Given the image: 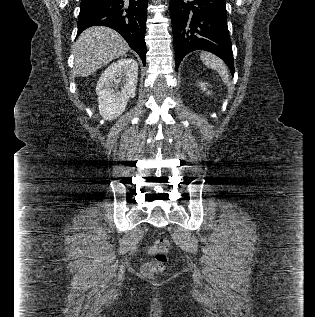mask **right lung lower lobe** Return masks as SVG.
I'll return each mask as SVG.
<instances>
[{"label":"right lung lower lobe","mask_w":315,"mask_h":317,"mask_svg":"<svg viewBox=\"0 0 315 317\" xmlns=\"http://www.w3.org/2000/svg\"><path fill=\"white\" fill-rule=\"evenodd\" d=\"M148 0H82L78 35L94 25L119 32L146 64L144 40Z\"/></svg>","instance_id":"right-lung-lower-lobe-1"}]
</instances>
